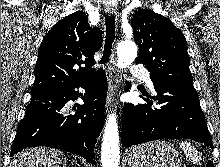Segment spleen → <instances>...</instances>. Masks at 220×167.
<instances>
[{
  "instance_id": "1",
  "label": "spleen",
  "mask_w": 220,
  "mask_h": 167,
  "mask_svg": "<svg viewBox=\"0 0 220 167\" xmlns=\"http://www.w3.org/2000/svg\"><path fill=\"white\" fill-rule=\"evenodd\" d=\"M179 145L186 158H188L193 164H197L202 160L201 154L190 142L182 141Z\"/></svg>"
}]
</instances>
